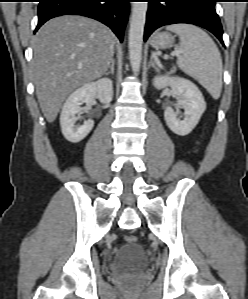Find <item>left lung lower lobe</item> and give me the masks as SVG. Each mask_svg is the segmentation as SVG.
<instances>
[{"mask_svg":"<svg viewBox=\"0 0 248 299\" xmlns=\"http://www.w3.org/2000/svg\"><path fill=\"white\" fill-rule=\"evenodd\" d=\"M149 2L144 40L157 28L188 23L212 32L224 45L223 30L215 10L217 0H147Z\"/></svg>","mask_w":248,"mask_h":299,"instance_id":"obj_1","label":"left lung lower lobe"}]
</instances>
